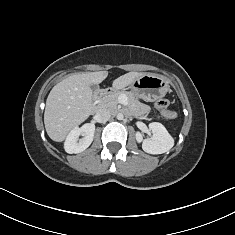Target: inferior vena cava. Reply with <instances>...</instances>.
Masks as SVG:
<instances>
[{
	"label": "inferior vena cava",
	"mask_w": 235,
	"mask_h": 235,
	"mask_svg": "<svg viewBox=\"0 0 235 235\" xmlns=\"http://www.w3.org/2000/svg\"><path fill=\"white\" fill-rule=\"evenodd\" d=\"M111 113L107 108H99L96 112V118L100 122H106L110 119Z\"/></svg>",
	"instance_id": "1"
}]
</instances>
